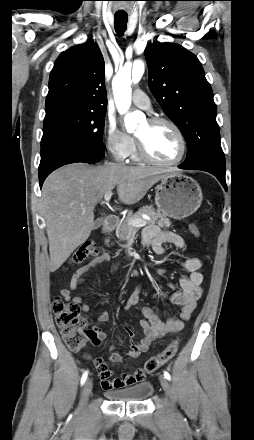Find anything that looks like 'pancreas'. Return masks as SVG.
<instances>
[{
	"instance_id": "obj_1",
	"label": "pancreas",
	"mask_w": 254,
	"mask_h": 440,
	"mask_svg": "<svg viewBox=\"0 0 254 440\" xmlns=\"http://www.w3.org/2000/svg\"><path fill=\"white\" fill-rule=\"evenodd\" d=\"M146 214L151 219L145 220L143 219L142 215ZM130 219H143L146 221L147 224H157L160 228H169L171 226V221L169 218H167L164 214H162L159 210H155L153 207L150 206H143L140 208L136 213L133 215H130L120 221L119 227L117 228L116 235L119 239V241H125L130 236L135 234L138 231L137 227L129 225ZM109 239L105 240V243H108Z\"/></svg>"
}]
</instances>
